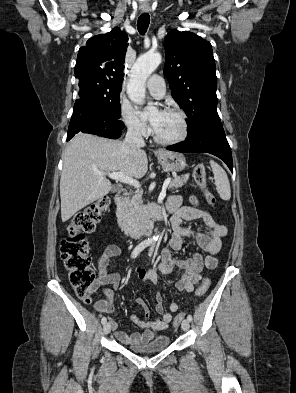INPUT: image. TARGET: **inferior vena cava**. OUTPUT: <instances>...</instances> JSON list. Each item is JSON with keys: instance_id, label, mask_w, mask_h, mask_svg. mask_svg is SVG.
I'll use <instances>...</instances> for the list:
<instances>
[{"instance_id": "602c4592", "label": "inferior vena cava", "mask_w": 296, "mask_h": 393, "mask_svg": "<svg viewBox=\"0 0 296 393\" xmlns=\"http://www.w3.org/2000/svg\"><path fill=\"white\" fill-rule=\"evenodd\" d=\"M143 146H145V142L142 137L141 128L137 125L130 126L123 142L122 149L125 152L132 154Z\"/></svg>"}]
</instances>
